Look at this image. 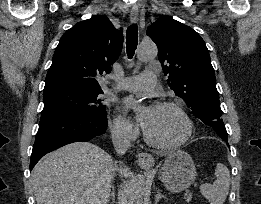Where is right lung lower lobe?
<instances>
[{"label": "right lung lower lobe", "mask_w": 261, "mask_h": 204, "mask_svg": "<svg viewBox=\"0 0 261 204\" xmlns=\"http://www.w3.org/2000/svg\"><path fill=\"white\" fill-rule=\"evenodd\" d=\"M106 129V112L75 110L41 115L29 169L45 154L72 142H87Z\"/></svg>", "instance_id": "98d812e1"}]
</instances>
